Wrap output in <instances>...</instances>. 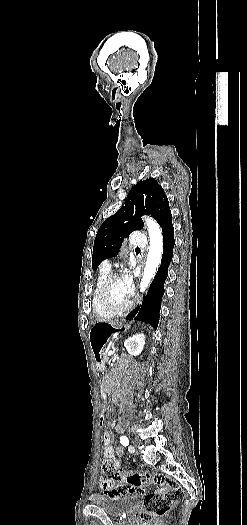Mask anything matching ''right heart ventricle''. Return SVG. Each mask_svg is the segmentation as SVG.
<instances>
[{
  "label": "right heart ventricle",
  "instance_id": "obj_1",
  "mask_svg": "<svg viewBox=\"0 0 247 525\" xmlns=\"http://www.w3.org/2000/svg\"><path fill=\"white\" fill-rule=\"evenodd\" d=\"M110 275V269L108 267V262H103L101 266L100 273L98 275L95 289L92 293L91 300H92V311L94 317H112L111 313L105 311L102 309L100 305V298L97 293V289L99 285Z\"/></svg>",
  "mask_w": 247,
  "mask_h": 525
}]
</instances>
